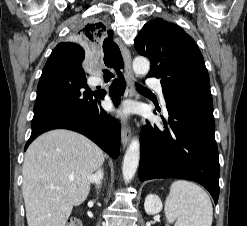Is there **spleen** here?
I'll list each match as a JSON object with an SVG mask.
<instances>
[{
	"instance_id": "spleen-1",
	"label": "spleen",
	"mask_w": 247,
	"mask_h": 226,
	"mask_svg": "<svg viewBox=\"0 0 247 226\" xmlns=\"http://www.w3.org/2000/svg\"><path fill=\"white\" fill-rule=\"evenodd\" d=\"M166 214L175 226H211L213 207L208 194L195 183L178 180L172 183L165 203Z\"/></svg>"
}]
</instances>
